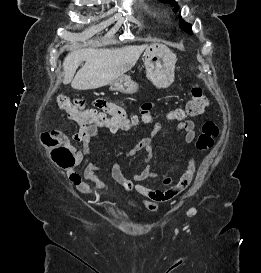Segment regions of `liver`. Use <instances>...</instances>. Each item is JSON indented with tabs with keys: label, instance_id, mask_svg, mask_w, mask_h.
I'll use <instances>...</instances> for the list:
<instances>
[{
	"label": "liver",
	"instance_id": "liver-1",
	"mask_svg": "<svg viewBox=\"0 0 261 273\" xmlns=\"http://www.w3.org/2000/svg\"><path fill=\"white\" fill-rule=\"evenodd\" d=\"M146 47L148 46L133 45L111 49L73 50L63 62V83H71L72 88L76 90L103 87L132 69ZM83 61L85 64L76 73Z\"/></svg>",
	"mask_w": 261,
	"mask_h": 273
}]
</instances>
